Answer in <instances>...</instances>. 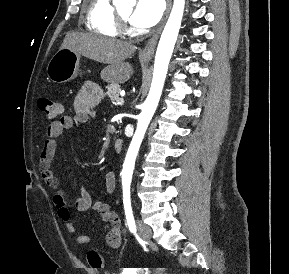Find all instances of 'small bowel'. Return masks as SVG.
Segmentation results:
<instances>
[{
    "label": "small bowel",
    "mask_w": 289,
    "mask_h": 274,
    "mask_svg": "<svg viewBox=\"0 0 289 274\" xmlns=\"http://www.w3.org/2000/svg\"><path fill=\"white\" fill-rule=\"evenodd\" d=\"M103 97L102 89L94 82H86L77 93L74 102V115H64L50 123L47 129L46 138L40 155L39 169L45 183L54 191L52 198L53 205L61 221L65 223L69 233L75 232V225L71 220V213L68 208V201H72L75 208L80 212L97 210L105 223L106 243L110 248H119L122 242L121 223L117 213L113 210L109 201H94L90 192L82 187L80 194L70 197L67 191L61 186L58 177L52 171V163L56 155L58 138L67 130H70L75 123H88L95 117V106ZM116 185V177L113 171L105 175V190L110 196ZM88 235H79L76 242L79 245L89 243Z\"/></svg>",
    "instance_id": "c3829d8e"
}]
</instances>
